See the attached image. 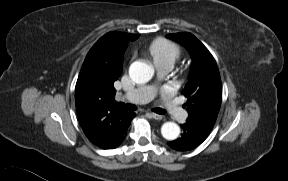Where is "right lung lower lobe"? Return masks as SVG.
Segmentation results:
<instances>
[{
    "label": "right lung lower lobe",
    "instance_id": "1",
    "mask_svg": "<svg viewBox=\"0 0 288 181\" xmlns=\"http://www.w3.org/2000/svg\"><path fill=\"white\" fill-rule=\"evenodd\" d=\"M134 116H135V113L130 112V121L133 119ZM129 125H130V122H129L127 128L129 127ZM127 128L125 129V132H124V134L122 135L121 142L124 140V136H125V134H126V132H127ZM121 142H120V143H121Z\"/></svg>",
    "mask_w": 288,
    "mask_h": 181
}]
</instances>
